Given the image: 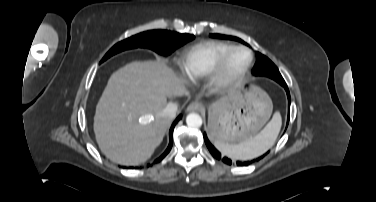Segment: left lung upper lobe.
<instances>
[{"label": "left lung upper lobe", "instance_id": "obj_1", "mask_svg": "<svg viewBox=\"0 0 376 202\" xmlns=\"http://www.w3.org/2000/svg\"><path fill=\"white\" fill-rule=\"evenodd\" d=\"M211 37L220 38V39H229L236 40L241 43H244L241 39L233 36H226L221 34H210ZM257 61L254 65L252 73L254 75H263L269 78L274 79L279 84L285 83L283 77L281 76L278 68L272 63L266 56L262 55L259 52H256Z\"/></svg>", "mask_w": 376, "mask_h": 202}]
</instances>
